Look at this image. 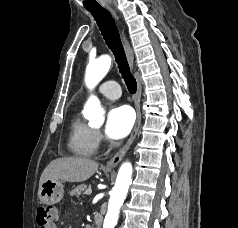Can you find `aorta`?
<instances>
[{
  "instance_id": "obj_1",
  "label": "aorta",
  "mask_w": 238,
  "mask_h": 228,
  "mask_svg": "<svg viewBox=\"0 0 238 228\" xmlns=\"http://www.w3.org/2000/svg\"><path fill=\"white\" fill-rule=\"evenodd\" d=\"M111 61L112 59L109 55H102L88 63L85 73V84L89 89L95 88L105 77L110 69ZM83 114L91 122L104 121V110L95 95H91L87 100ZM132 172L133 169L130 162L126 161L121 165L115 186L110 195L103 228H114L117 225L120 207L126 198L132 182Z\"/></svg>"
}]
</instances>
